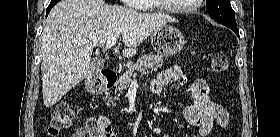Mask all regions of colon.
Wrapping results in <instances>:
<instances>
[{"mask_svg": "<svg viewBox=\"0 0 280 137\" xmlns=\"http://www.w3.org/2000/svg\"><path fill=\"white\" fill-rule=\"evenodd\" d=\"M211 70L215 73H223L228 68L227 56L218 52L213 54L210 63ZM73 123V112L65 101H59L51 113L48 131L52 136H57L61 131L70 127ZM92 134L100 137H108L109 130L104 125L100 124L96 119L89 122Z\"/></svg>", "mask_w": 280, "mask_h": 137, "instance_id": "1", "label": "colon"}]
</instances>
